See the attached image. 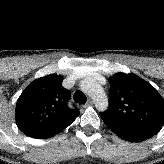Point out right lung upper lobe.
<instances>
[{"label": "right lung upper lobe", "instance_id": "1", "mask_svg": "<svg viewBox=\"0 0 164 164\" xmlns=\"http://www.w3.org/2000/svg\"><path fill=\"white\" fill-rule=\"evenodd\" d=\"M63 78L50 74L31 82L16 104V124L27 136L49 130L79 115L69 106L70 92L62 86Z\"/></svg>", "mask_w": 164, "mask_h": 164}]
</instances>
